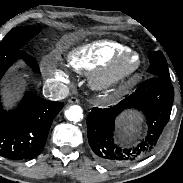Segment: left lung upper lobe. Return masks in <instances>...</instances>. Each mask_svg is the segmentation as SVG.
<instances>
[{
  "label": "left lung upper lobe",
  "mask_w": 183,
  "mask_h": 183,
  "mask_svg": "<svg viewBox=\"0 0 183 183\" xmlns=\"http://www.w3.org/2000/svg\"><path fill=\"white\" fill-rule=\"evenodd\" d=\"M150 66L148 72L160 77L170 78L166 59L161 51L150 54Z\"/></svg>",
  "instance_id": "5c2ea615"
}]
</instances>
